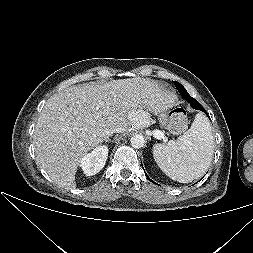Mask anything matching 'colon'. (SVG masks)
<instances>
[{
    "mask_svg": "<svg viewBox=\"0 0 253 253\" xmlns=\"http://www.w3.org/2000/svg\"><path fill=\"white\" fill-rule=\"evenodd\" d=\"M187 127V117L181 108H176L169 115L168 128L173 133H180Z\"/></svg>",
    "mask_w": 253,
    "mask_h": 253,
    "instance_id": "5ec220e1",
    "label": "colon"
}]
</instances>
